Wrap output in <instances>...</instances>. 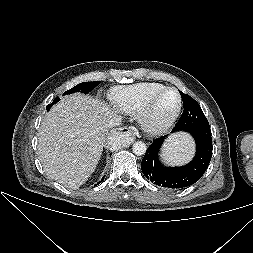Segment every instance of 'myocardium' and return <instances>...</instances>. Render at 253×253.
Returning a JSON list of instances; mask_svg holds the SVG:
<instances>
[{
	"mask_svg": "<svg viewBox=\"0 0 253 253\" xmlns=\"http://www.w3.org/2000/svg\"><path fill=\"white\" fill-rule=\"evenodd\" d=\"M166 91H174L178 97V104L175 111L168 117L166 120L162 122H154L153 121V109L158 101V99L166 92ZM182 108V97L180 92L175 87H164L163 89L155 92L151 95L144 104L143 109L139 114V123L141 127L149 134L157 135L165 132L169 129L173 123L178 118Z\"/></svg>",
	"mask_w": 253,
	"mask_h": 253,
	"instance_id": "1",
	"label": "myocardium"
}]
</instances>
